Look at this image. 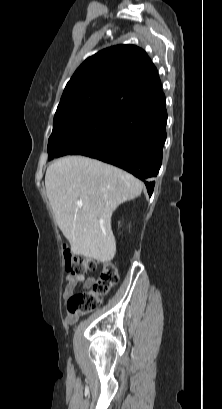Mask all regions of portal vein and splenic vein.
Masks as SVG:
<instances>
[{"instance_id": "18ae733b", "label": "portal vein and splenic vein", "mask_w": 222, "mask_h": 409, "mask_svg": "<svg viewBox=\"0 0 222 409\" xmlns=\"http://www.w3.org/2000/svg\"><path fill=\"white\" fill-rule=\"evenodd\" d=\"M82 204H83L82 201H77L78 206H82Z\"/></svg>"}]
</instances>
